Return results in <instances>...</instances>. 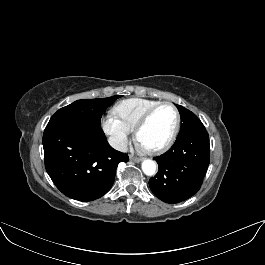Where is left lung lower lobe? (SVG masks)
<instances>
[{"instance_id":"obj_1","label":"left lung lower lobe","mask_w":265,"mask_h":265,"mask_svg":"<svg viewBox=\"0 0 265 265\" xmlns=\"http://www.w3.org/2000/svg\"><path fill=\"white\" fill-rule=\"evenodd\" d=\"M157 174L149 186L166 203H179L192 197L201 187L210 162L209 135L205 127L177 137L174 145L154 158Z\"/></svg>"}]
</instances>
